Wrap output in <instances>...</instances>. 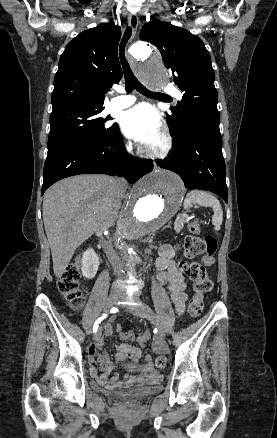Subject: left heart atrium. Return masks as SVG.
Instances as JSON below:
<instances>
[{
  "instance_id": "1",
  "label": "left heart atrium",
  "mask_w": 277,
  "mask_h": 438,
  "mask_svg": "<svg viewBox=\"0 0 277 438\" xmlns=\"http://www.w3.org/2000/svg\"><path fill=\"white\" fill-rule=\"evenodd\" d=\"M120 124L124 134L137 141L145 150H150L161 136V119L148 104H140L126 111L121 116Z\"/></svg>"
}]
</instances>
